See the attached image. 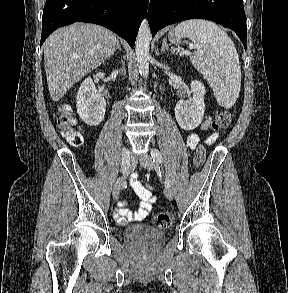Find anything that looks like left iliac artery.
I'll use <instances>...</instances> for the list:
<instances>
[{
  "mask_svg": "<svg viewBox=\"0 0 288 293\" xmlns=\"http://www.w3.org/2000/svg\"><path fill=\"white\" fill-rule=\"evenodd\" d=\"M151 156L153 158V161L156 162L157 164H162L163 163L162 155L157 149H152ZM164 184H165L166 188H170V182H169V180L167 178L165 179Z\"/></svg>",
  "mask_w": 288,
  "mask_h": 293,
  "instance_id": "44dca946",
  "label": "left iliac artery"
}]
</instances>
